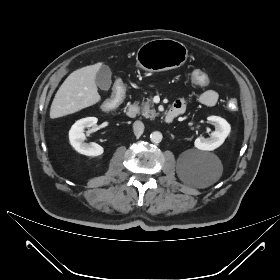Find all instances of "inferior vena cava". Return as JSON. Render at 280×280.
I'll return each mask as SVG.
<instances>
[{"label":"inferior vena cava","instance_id":"1","mask_svg":"<svg viewBox=\"0 0 280 280\" xmlns=\"http://www.w3.org/2000/svg\"><path fill=\"white\" fill-rule=\"evenodd\" d=\"M133 130L136 136H141L144 131V124L141 121H135L133 123Z\"/></svg>","mask_w":280,"mask_h":280}]
</instances>
